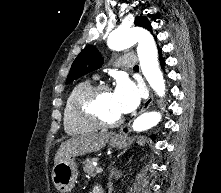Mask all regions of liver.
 Listing matches in <instances>:
<instances>
[{
	"instance_id": "obj_1",
	"label": "liver",
	"mask_w": 221,
	"mask_h": 193,
	"mask_svg": "<svg viewBox=\"0 0 221 193\" xmlns=\"http://www.w3.org/2000/svg\"><path fill=\"white\" fill-rule=\"evenodd\" d=\"M109 137L110 134L107 132L74 136L60 145L54 158V164L75 156L97 152L106 145Z\"/></svg>"
}]
</instances>
